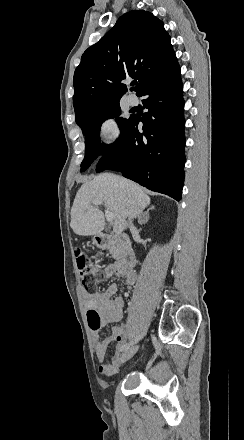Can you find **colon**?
<instances>
[{
	"instance_id": "obj_1",
	"label": "colon",
	"mask_w": 244,
	"mask_h": 440,
	"mask_svg": "<svg viewBox=\"0 0 244 440\" xmlns=\"http://www.w3.org/2000/svg\"><path fill=\"white\" fill-rule=\"evenodd\" d=\"M75 260L78 264V270L80 272L81 282L86 290L87 294H94L96 287L102 281V275L99 271L100 259L96 257L91 264L88 263V255L85 251L80 248L76 249ZM89 265H91V272L89 270ZM88 305H93V300H88ZM87 319H100V310H87Z\"/></svg>"
}]
</instances>
